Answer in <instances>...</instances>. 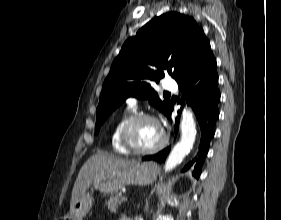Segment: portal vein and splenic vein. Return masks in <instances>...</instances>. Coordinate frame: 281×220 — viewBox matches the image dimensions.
Segmentation results:
<instances>
[{
    "label": "portal vein and splenic vein",
    "instance_id": "portal-vein-and-splenic-vein-1",
    "mask_svg": "<svg viewBox=\"0 0 281 220\" xmlns=\"http://www.w3.org/2000/svg\"><path fill=\"white\" fill-rule=\"evenodd\" d=\"M121 200H122V202H126V201H128V198L127 197H123Z\"/></svg>",
    "mask_w": 281,
    "mask_h": 220
}]
</instances>
